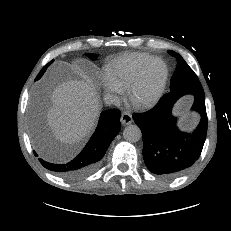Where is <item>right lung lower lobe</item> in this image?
I'll return each mask as SVG.
<instances>
[{
	"label": "right lung lower lobe",
	"mask_w": 231,
	"mask_h": 231,
	"mask_svg": "<svg viewBox=\"0 0 231 231\" xmlns=\"http://www.w3.org/2000/svg\"><path fill=\"white\" fill-rule=\"evenodd\" d=\"M121 112L110 109L101 113L98 126L91 139L72 161L53 164L39 159L40 163L50 171L66 178H79L95 171L106 153L110 143L120 131ZM35 156L37 154L34 152Z\"/></svg>",
	"instance_id": "right-lung-lower-lobe-1"
}]
</instances>
